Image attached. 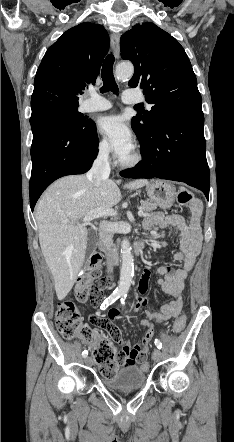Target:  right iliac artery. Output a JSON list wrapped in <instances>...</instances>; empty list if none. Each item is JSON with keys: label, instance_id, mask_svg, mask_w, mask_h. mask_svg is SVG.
Listing matches in <instances>:
<instances>
[{"label": "right iliac artery", "instance_id": "obj_1", "mask_svg": "<svg viewBox=\"0 0 234 442\" xmlns=\"http://www.w3.org/2000/svg\"><path fill=\"white\" fill-rule=\"evenodd\" d=\"M120 297V293L118 292H113L108 298H106V300L102 303L100 309L101 310H105L109 305H111L112 303H114L118 298ZM88 355V351H83L82 352V356L84 358H86Z\"/></svg>", "mask_w": 234, "mask_h": 442}]
</instances>
